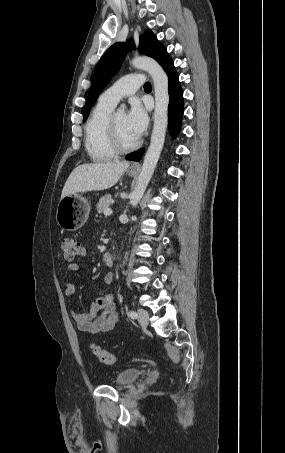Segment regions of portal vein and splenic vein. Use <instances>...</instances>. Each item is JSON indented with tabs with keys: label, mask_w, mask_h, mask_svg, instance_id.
Masks as SVG:
<instances>
[{
	"label": "portal vein and splenic vein",
	"mask_w": 285,
	"mask_h": 453,
	"mask_svg": "<svg viewBox=\"0 0 285 453\" xmlns=\"http://www.w3.org/2000/svg\"><path fill=\"white\" fill-rule=\"evenodd\" d=\"M112 212H113L112 209L108 208V209H105L103 213H104V215L108 216V215H111Z\"/></svg>",
	"instance_id": "18ae733b"
}]
</instances>
